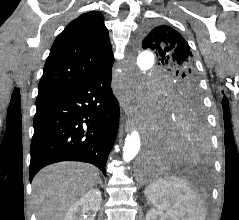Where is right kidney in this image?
<instances>
[{"instance_id": "1", "label": "right kidney", "mask_w": 239, "mask_h": 220, "mask_svg": "<svg viewBox=\"0 0 239 220\" xmlns=\"http://www.w3.org/2000/svg\"><path fill=\"white\" fill-rule=\"evenodd\" d=\"M102 202L99 189H90L78 201H76L67 211L64 220H84L86 207L93 211H98Z\"/></svg>"}]
</instances>
